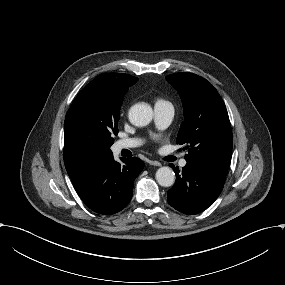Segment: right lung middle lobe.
<instances>
[{
  "mask_svg": "<svg viewBox=\"0 0 285 285\" xmlns=\"http://www.w3.org/2000/svg\"><path fill=\"white\" fill-rule=\"evenodd\" d=\"M121 103L99 112H88L73 102L65 117L64 145L83 150L111 151L112 136L118 133Z\"/></svg>",
  "mask_w": 285,
  "mask_h": 285,
  "instance_id": "dd1d6c3e",
  "label": "right lung middle lobe"
}]
</instances>
